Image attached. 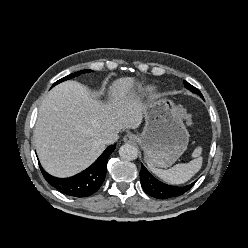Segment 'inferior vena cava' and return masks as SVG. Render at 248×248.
<instances>
[{
    "label": "inferior vena cava",
    "mask_w": 248,
    "mask_h": 248,
    "mask_svg": "<svg viewBox=\"0 0 248 248\" xmlns=\"http://www.w3.org/2000/svg\"><path fill=\"white\" fill-rule=\"evenodd\" d=\"M117 139H118V135L117 134H108V135H106L104 138H103V140H102V142L104 143V144H113L114 142H116L117 141Z\"/></svg>",
    "instance_id": "obj_1"
}]
</instances>
